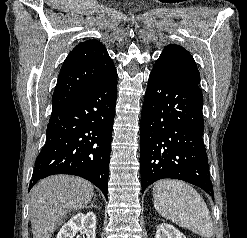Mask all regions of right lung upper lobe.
Here are the masks:
<instances>
[{"label": "right lung upper lobe", "instance_id": "obj_1", "mask_svg": "<svg viewBox=\"0 0 247 238\" xmlns=\"http://www.w3.org/2000/svg\"><path fill=\"white\" fill-rule=\"evenodd\" d=\"M114 71L113 61L101 42L92 39L79 43L61 67L52 97V111L86 93Z\"/></svg>", "mask_w": 247, "mask_h": 238}]
</instances>
